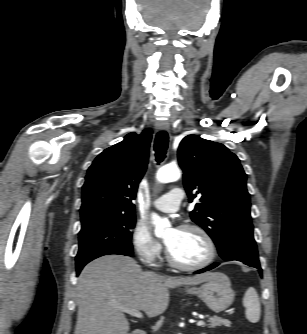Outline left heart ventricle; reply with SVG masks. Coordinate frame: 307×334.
<instances>
[{"label": "left heart ventricle", "mask_w": 307, "mask_h": 334, "mask_svg": "<svg viewBox=\"0 0 307 334\" xmlns=\"http://www.w3.org/2000/svg\"><path fill=\"white\" fill-rule=\"evenodd\" d=\"M171 231L167 235L170 237ZM173 256L183 264H197L208 255V248L199 233L193 230H180L177 241L170 248Z\"/></svg>", "instance_id": "1"}]
</instances>
